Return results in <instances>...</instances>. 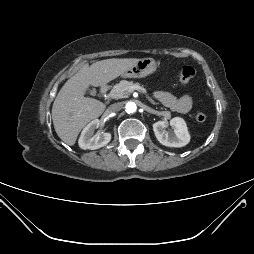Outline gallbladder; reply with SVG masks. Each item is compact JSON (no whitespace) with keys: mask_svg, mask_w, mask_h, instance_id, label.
<instances>
[{"mask_svg":"<svg viewBox=\"0 0 254 254\" xmlns=\"http://www.w3.org/2000/svg\"><path fill=\"white\" fill-rule=\"evenodd\" d=\"M89 93H90V95H95L96 94L95 90H89Z\"/></svg>","mask_w":254,"mask_h":254,"instance_id":"1","label":"gallbladder"}]
</instances>
